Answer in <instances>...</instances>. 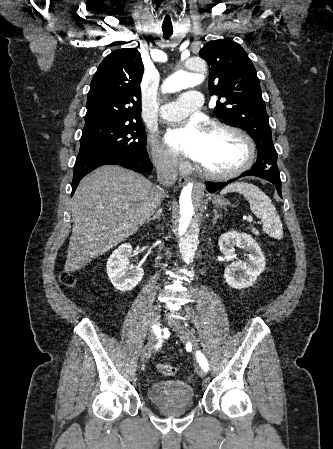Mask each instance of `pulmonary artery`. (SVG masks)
<instances>
[{
	"instance_id": "obj_1",
	"label": "pulmonary artery",
	"mask_w": 333,
	"mask_h": 449,
	"mask_svg": "<svg viewBox=\"0 0 333 449\" xmlns=\"http://www.w3.org/2000/svg\"><path fill=\"white\" fill-rule=\"evenodd\" d=\"M203 96L199 91L189 90L184 92L173 102L165 103L160 107V116L168 121H178L186 117L190 112L201 107Z\"/></svg>"
}]
</instances>
